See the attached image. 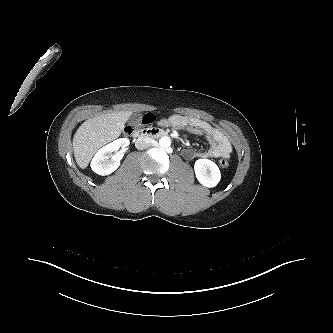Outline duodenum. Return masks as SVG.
I'll use <instances>...</instances> for the list:
<instances>
[{
	"instance_id": "duodenum-1",
	"label": "duodenum",
	"mask_w": 333,
	"mask_h": 333,
	"mask_svg": "<svg viewBox=\"0 0 333 333\" xmlns=\"http://www.w3.org/2000/svg\"><path fill=\"white\" fill-rule=\"evenodd\" d=\"M166 135L167 133L162 129L147 128L135 131L132 136L137 145H142L144 142H146L149 139L160 138Z\"/></svg>"
}]
</instances>
